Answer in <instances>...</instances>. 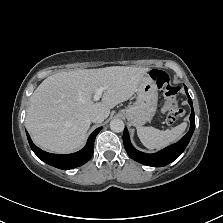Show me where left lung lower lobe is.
I'll list each match as a JSON object with an SVG mask.
<instances>
[{
    "instance_id": "left-lung-lower-lobe-1",
    "label": "left lung lower lobe",
    "mask_w": 223,
    "mask_h": 223,
    "mask_svg": "<svg viewBox=\"0 0 223 223\" xmlns=\"http://www.w3.org/2000/svg\"><path fill=\"white\" fill-rule=\"evenodd\" d=\"M185 87V92L188 96V102L191 106V115H190V121H191V126L188 131V133L182 137L180 141L177 143L157 152L154 154H146L142 153L138 150H136L129 139V134L127 129H124L123 133V142H124V147L128 153V155L134 159L137 162H140L142 164L148 165V166H154V167H162L165 166L171 162H173L175 159H177L185 150L186 146L188 145L191 136L194 132L195 129V118H194V110H193V105H192V100L188 94L187 87Z\"/></svg>"
}]
</instances>
